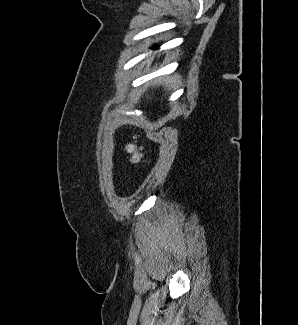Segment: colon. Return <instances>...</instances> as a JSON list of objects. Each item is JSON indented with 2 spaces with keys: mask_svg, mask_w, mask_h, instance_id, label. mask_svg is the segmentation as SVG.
Here are the masks:
<instances>
[{
  "mask_svg": "<svg viewBox=\"0 0 298 325\" xmlns=\"http://www.w3.org/2000/svg\"><path fill=\"white\" fill-rule=\"evenodd\" d=\"M126 151L130 154V162L135 166L140 165L144 161V153L141 146L137 143H129L126 146Z\"/></svg>",
  "mask_w": 298,
  "mask_h": 325,
  "instance_id": "colon-1",
  "label": "colon"
}]
</instances>
